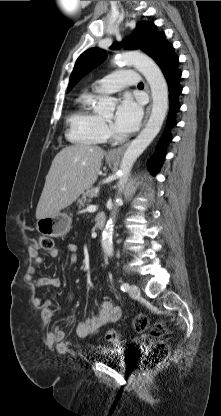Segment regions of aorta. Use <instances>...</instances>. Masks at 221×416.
<instances>
[{"label": "aorta", "instance_id": "obj_1", "mask_svg": "<svg viewBox=\"0 0 221 416\" xmlns=\"http://www.w3.org/2000/svg\"><path fill=\"white\" fill-rule=\"evenodd\" d=\"M113 62L115 64L124 63L133 65L147 80L152 95V111L149 120L138 137L130 143L121 159L118 182V195H120L135 161L161 130L168 112L169 100L167 82L160 68L149 56L138 51H127L117 55ZM112 104L111 98H104L98 102L95 111L98 113H106L111 109ZM120 201V197L117 196L115 201L116 207ZM116 211L117 209L114 207L112 218L109 219L102 233L101 245L105 254L109 257L113 255L112 236Z\"/></svg>", "mask_w": 221, "mask_h": 416}]
</instances>
